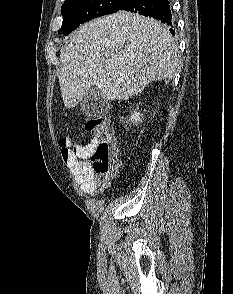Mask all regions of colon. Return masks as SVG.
Wrapping results in <instances>:
<instances>
[{
	"label": "colon",
	"instance_id": "1",
	"mask_svg": "<svg viewBox=\"0 0 233 294\" xmlns=\"http://www.w3.org/2000/svg\"><path fill=\"white\" fill-rule=\"evenodd\" d=\"M85 127L92 136V149L88 155L94 173L107 179L112 176L118 168V146L114 141L109 122L104 118H87ZM65 158L66 152L62 151Z\"/></svg>",
	"mask_w": 233,
	"mask_h": 294
}]
</instances>
